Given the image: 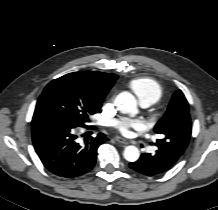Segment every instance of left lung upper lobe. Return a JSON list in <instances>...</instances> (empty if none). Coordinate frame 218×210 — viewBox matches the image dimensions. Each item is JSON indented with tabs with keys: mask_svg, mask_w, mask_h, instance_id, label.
<instances>
[{
	"mask_svg": "<svg viewBox=\"0 0 218 210\" xmlns=\"http://www.w3.org/2000/svg\"><path fill=\"white\" fill-rule=\"evenodd\" d=\"M154 131L161 135L156 146L164 154L184 153L191 137V119L188 102L181 90L173 95L166 113L155 125Z\"/></svg>",
	"mask_w": 218,
	"mask_h": 210,
	"instance_id": "left-lung-upper-lobe-1",
	"label": "left lung upper lobe"
}]
</instances>
